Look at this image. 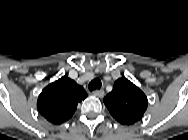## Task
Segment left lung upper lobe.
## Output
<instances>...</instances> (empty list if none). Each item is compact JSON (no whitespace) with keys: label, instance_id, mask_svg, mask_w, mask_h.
I'll return each instance as SVG.
<instances>
[{"label":"left lung upper lobe","instance_id":"left-lung-upper-lobe-1","mask_svg":"<svg viewBox=\"0 0 188 140\" xmlns=\"http://www.w3.org/2000/svg\"><path fill=\"white\" fill-rule=\"evenodd\" d=\"M103 101L113 118L122 125L141 120L148 105L145 94L125 77L116 80L113 90Z\"/></svg>","mask_w":188,"mask_h":140}]
</instances>
